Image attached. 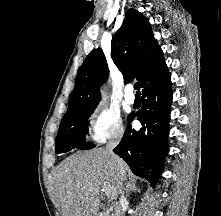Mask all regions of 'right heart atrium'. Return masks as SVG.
Instances as JSON below:
<instances>
[{"instance_id":"d8ad5b80","label":"right heart atrium","mask_w":221,"mask_h":216,"mask_svg":"<svg viewBox=\"0 0 221 216\" xmlns=\"http://www.w3.org/2000/svg\"><path fill=\"white\" fill-rule=\"evenodd\" d=\"M124 135V125L117 110L106 105L97 106L91 115L88 137L94 143L118 141Z\"/></svg>"}]
</instances>
